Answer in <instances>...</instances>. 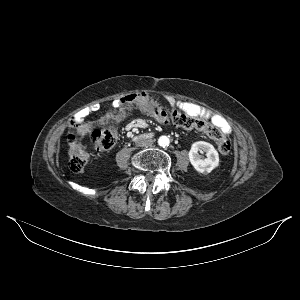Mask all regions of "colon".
<instances>
[{"label": "colon", "mask_w": 300, "mask_h": 300, "mask_svg": "<svg viewBox=\"0 0 300 300\" xmlns=\"http://www.w3.org/2000/svg\"><path fill=\"white\" fill-rule=\"evenodd\" d=\"M134 109L151 114L167 125L200 131L216 142L222 156L226 157L231 153V143L217 125L201 115H191L182 110H170L159 100L149 97L144 92L122 98L115 107L113 119L124 111ZM75 127L76 132L68 136L69 167L73 172H81L88 162V153L81 143L82 138L88 137L98 150H109L116 144L118 132L113 121L104 123L99 129H90L84 123H78Z\"/></svg>", "instance_id": "colon-1"}]
</instances>
